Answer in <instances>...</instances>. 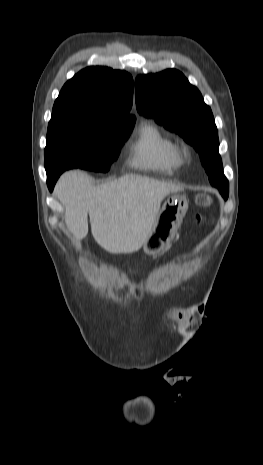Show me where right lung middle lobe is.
I'll return each instance as SVG.
<instances>
[{
    "instance_id": "obj_1",
    "label": "right lung middle lobe",
    "mask_w": 263,
    "mask_h": 465,
    "mask_svg": "<svg viewBox=\"0 0 263 465\" xmlns=\"http://www.w3.org/2000/svg\"><path fill=\"white\" fill-rule=\"evenodd\" d=\"M135 120L87 110H53L44 152L47 174L78 167L108 171Z\"/></svg>"
}]
</instances>
